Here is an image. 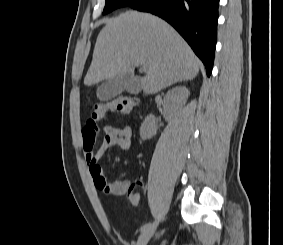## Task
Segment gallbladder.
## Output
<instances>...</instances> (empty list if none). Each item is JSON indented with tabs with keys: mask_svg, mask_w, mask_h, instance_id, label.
<instances>
[{
	"mask_svg": "<svg viewBox=\"0 0 283 245\" xmlns=\"http://www.w3.org/2000/svg\"><path fill=\"white\" fill-rule=\"evenodd\" d=\"M137 94L141 91L140 80L133 74L122 73L105 80L97 88V98L101 101H109L122 92Z\"/></svg>",
	"mask_w": 283,
	"mask_h": 245,
	"instance_id": "gallbladder-1",
	"label": "gallbladder"
}]
</instances>
